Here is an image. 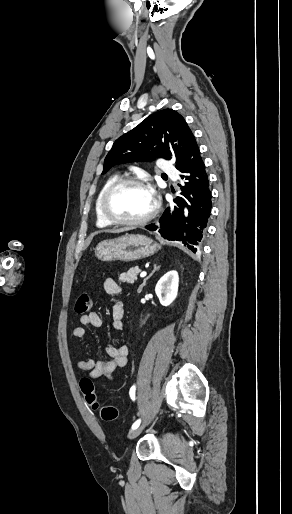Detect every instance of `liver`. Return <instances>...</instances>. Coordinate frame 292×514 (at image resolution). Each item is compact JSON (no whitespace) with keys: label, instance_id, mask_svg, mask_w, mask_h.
Masks as SVG:
<instances>
[{"label":"liver","instance_id":"6515ba94","mask_svg":"<svg viewBox=\"0 0 292 514\" xmlns=\"http://www.w3.org/2000/svg\"><path fill=\"white\" fill-rule=\"evenodd\" d=\"M129 228H120V230H105V232H111V234H119V232H128Z\"/></svg>","mask_w":292,"mask_h":514}]
</instances>
